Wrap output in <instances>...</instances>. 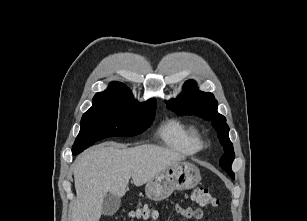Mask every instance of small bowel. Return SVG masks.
<instances>
[{"label": "small bowel", "mask_w": 307, "mask_h": 221, "mask_svg": "<svg viewBox=\"0 0 307 221\" xmlns=\"http://www.w3.org/2000/svg\"><path fill=\"white\" fill-rule=\"evenodd\" d=\"M175 210L180 216L184 218L194 219L195 221H202L204 218V213L201 209H192L177 204L175 206Z\"/></svg>", "instance_id": "1"}]
</instances>
